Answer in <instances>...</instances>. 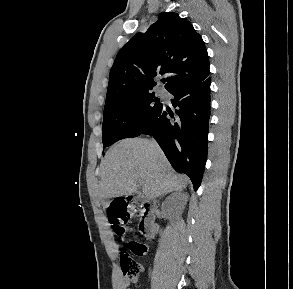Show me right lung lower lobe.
<instances>
[{
	"instance_id": "98d812e1",
	"label": "right lung lower lobe",
	"mask_w": 293,
	"mask_h": 289,
	"mask_svg": "<svg viewBox=\"0 0 293 289\" xmlns=\"http://www.w3.org/2000/svg\"><path fill=\"white\" fill-rule=\"evenodd\" d=\"M170 93L175 113L162 105L130 137L153 136L173 168L187 174L197 190L207 159L210 77Z\"/></svg>"
}]
</instances>
